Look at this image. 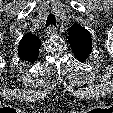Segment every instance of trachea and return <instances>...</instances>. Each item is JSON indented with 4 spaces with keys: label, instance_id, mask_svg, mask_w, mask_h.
Instances as JSON below:
<instances>
[{
    "label": "trachea",
    "instance_id": "1",
    "mask_svg": "<svg viewBox=\"0 0 113 113\" xmlns=\"http://www.w3.org/2000/svg\"><path fill=\"white\" fill-rule=\"evenodd\" d=\"M55 25H56V18L52 13H50L47 17L45 27L48 28L49 26H55Z\"/></svg>",
    "mask_w": 113,
    "mask_h": 113
}]
</instances>
